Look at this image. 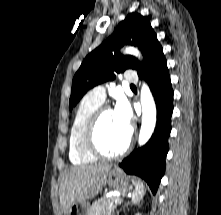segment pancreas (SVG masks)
Listing matches in <instances>:
<instances>
[{
	"label": "pancreas",
	"instance_id": "1",
	"mask_svg": "<svg viewBox=\"0 0 221 215\" xmlns=\"http://www.w3.org/2000/svg\"><path fill=\"white\" fill-rule=\"evenodd\" d=\"M117 196L109 198H101L96 200L89 208L88 215H112L116 209L117 203L115 199Z\"/></svg>",
	"mask_w": 221,
	"mask_h": 215
}]
</instances>
